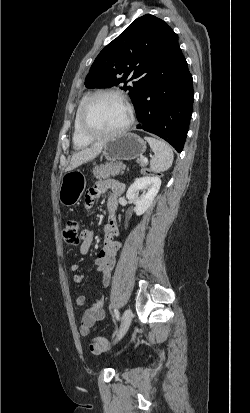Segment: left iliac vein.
<instances>
[{
	"mask_svg": "<svg viewBox=\"0 0 250 413\" xmlns=\"http://www.w3.org/2000/svg\"><path fill=\"white\" fill-rule=\"evenodd\" d=\"M132 317H133V314H132L131 309H126L122 315L121 327L118 332L116 341L120 340L123 337V335L126 333V331L128 330L131 324Z\"/></svg>",
	"mask_w": 250,
	"mask_h": 413,
	"instance_id": "obj_1",
	"label": "left iliac vein"
}]
</instances>
